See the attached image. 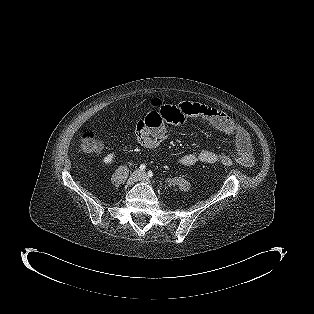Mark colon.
Masks as SVG:
<instances>
[{
    "label": "colon",
    "instance_id": "obj_1",
    "mask_svg": "<svg viewBox=\"0 0 314 314\" xmlns=\"http://www.w3.org/2000/svg\"><path fill=\"white\" fill-rule=\"evenodd\" d=\"M151 104L157 107L158 109L162 105H165L158 99L151 100ZM152 118H153V115L149 114L148 122L150 125H152ZM80 149L85 154H93L100 151L101 142L99 139V134L95 129H87L82 133L81 139H80ZM219 160H220V163L223 164L224 166L230 167L233 165L232 158L227 155H222Z\"/></svg>",
    "mask_w": 314,
    "mask_h": 314
}]
</instances>
